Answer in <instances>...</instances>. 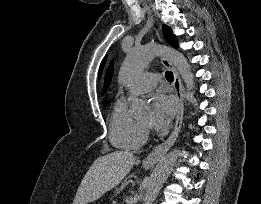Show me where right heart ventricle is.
<instances>
[{
	"label": "right heart ventricle",
	"instance_id": "right-heart-ventricle-1",
	"mask_svg": "<svg viewBox=\"0 0 261 204\" xmlns=\"http://www.w3.org/2000/svg\"><path fill=\"white\" fill-rule=\"evenodd\" d=\"M109 139L112 145L126 151H137L145 143V131L140 122L132 118L124 100H117L109 122Z\"/></svg>",
	"mask_w": 261,
	"mask_h": 204
}]
</instances>
